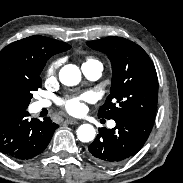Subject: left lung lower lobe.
Wrapping results in <instances>:
<instances>
[{"instance_id": "obj_1", "label": "left lung lower lobe", "mask_w": 183, "mask_h": 183, "mask_svg": "<svg viewBox=\"0 0 183 183\" xmlns=\"http://www.w3.org/2000/svg\"><path fill=\"white\" fill-rule=\"evenodd\" d=\"M113 129L100 128L96 139L89 145L88 157L106 166H116L135 155L148 139L153 124L140 118L122 116L114 119Z\"/></svg>"}]
</instances>
